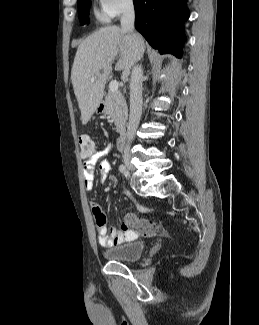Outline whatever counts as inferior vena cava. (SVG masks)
<instances>
[{"label":"inferior vena cava","mask_w":259,"mask_h":325,"mask_svg":"<svg viewBox=\"0 0 259 325\" xmlns=\"http://www.w3.org/2000/svg\"><path fill=\"white\" fill-rule=\"evenodd\" d=\"M134 6L132 0H127L122 7L121 29L134 35ZM142 77L143 71L141 65H135L132 70L130 82V115L127 126V146L125 151L129 150L130 143L134 139L141 114H142Z\"/></svg>","instance_id":"obj_1"}]
</instances>
